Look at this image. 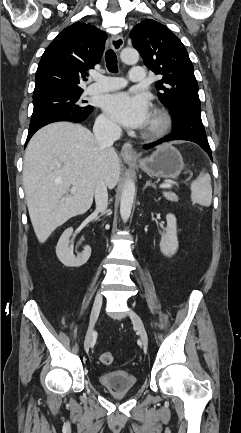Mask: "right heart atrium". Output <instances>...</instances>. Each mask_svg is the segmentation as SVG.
<instances>
[{
  "label": "right heart atrium",
  "instance_id": "d8ad5b80",
  "mask_svg": "<svg viewBox=\"0 0 241 433\" xmlns=\"http://www.w3.org/2000/svg\"><path fill=\"white\" fill-rule=\"evenodd\" d=\"M97 129L109 134H115L118 131L117 126L104 115L99 116L97 120Z\"/></svg>",
  "mask_w": 241,
  "mask_h": 433
}]
</instances>
